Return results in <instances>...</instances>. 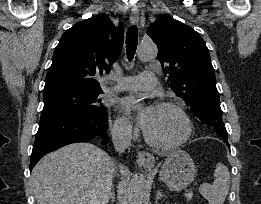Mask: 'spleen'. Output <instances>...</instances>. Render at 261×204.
I'll return each instance as SVG.
<instances>
[{
    "instance_id": "spleen-1",
    "label": "spleen",
    "mask_w": 261,
    "mask_h": 204,
    "mask_svg": "<svg viewBox=\"0 0 261 204\" xmlns=\"http://www.w3.org/2000/svg\"><path fill=\"white\" fill-rule=\"evenodd\" d=\"M213 184L203 183L199 187L201 195L209 202V204H223L230 186V173L228 168L217 163L214 171Z\"/></svg>"
}]
</instances>
